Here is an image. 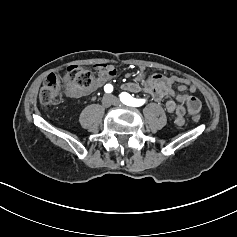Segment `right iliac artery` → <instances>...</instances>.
Wrapping results in <instances>:
<instances>
[{"mask_svg": "<svg viewBox=\"0 0 237 237\" xmlns=\"http://www.w3.org/2000/svg\"><path fill=\"white\" fill-rule=\"evenodd\" d=\"M104 91H105L106 93H111V92L113 91V86H112L111 84H106V85L104 86Z\"/></svg>", "mask_w": 237, "mask_h": 237, "instance_id": "obj_1", "label": "right iliac artery"}]
</instances>
